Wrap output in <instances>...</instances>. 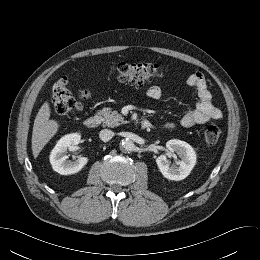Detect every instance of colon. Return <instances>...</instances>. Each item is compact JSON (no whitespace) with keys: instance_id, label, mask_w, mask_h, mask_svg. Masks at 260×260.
<instances>
[{"instance_id":"5ec220e1","label":"colon","mask_w":260,"mask_h":260,"mask_svg":"<svg viewBox=\"0 0 260 260\" xmlns=\"http://www.w3.org/2000/svg\"><path fill=\"white\" fill-rule=\"evenodd\" d=\"M158 72L155 64H126L120 63L115 67V73L119 80L135 85L148 83ZM89 97L87 91L79 94L76 99L69 88L68 79L65 77L56 81L51 93V102L58 114H69L81 108L82 101ZM222 135V129L217 124L209 125L204 132V138L208 145H215Z\"/></svg>"}]
</instances>
